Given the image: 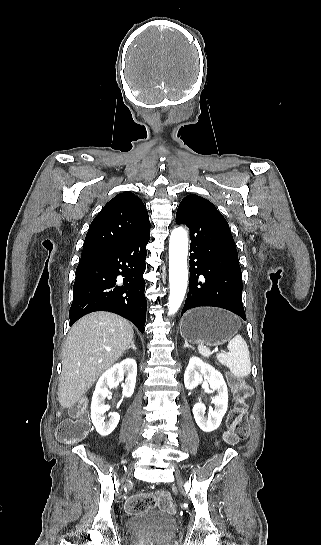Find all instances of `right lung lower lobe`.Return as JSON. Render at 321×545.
I'll return each mask as SVG.
<instances>
[{
    "instance_id": "98d812e1",
    "label": "right lung lower lobe",
    "mask_w": 321,
    "mask_h": 545,
    "mask_svg": "<svg viewBox=\"0 0 321 545\" xmlns=\"http://www.w3.org/2000/svg\"><path fill=\"white\" fill-rule=\"evenodd\" d=\"M150 231L122 246L81 256L73 286L70 325L94 311H109L130 320L144 333L146 245ZM123 276V281L117 277Z\"/></svg>"
}]
</instances>
